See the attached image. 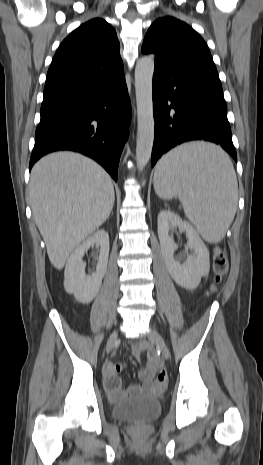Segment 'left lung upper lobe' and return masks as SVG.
I'll use <instances>...</instances> for the list:
<instances>
[{
	"label": "left lung upper lobe",
	"mask_w": 263,
	"mask_h": 465,
	"mask_svg": "<svg viewBox=\"0 0 263 465\" xmlns=\"http://www.w3.org/2000/svg\"><path fill=\"white\" fill-rule=\"evenodd\" d=\"M142 52L155 54V63L159 65L201 71L219 78L205 41L192 27L174 17L159 18L150 26Z\"/></svg>",
	"instance_id": "1"
}]
</instances>
